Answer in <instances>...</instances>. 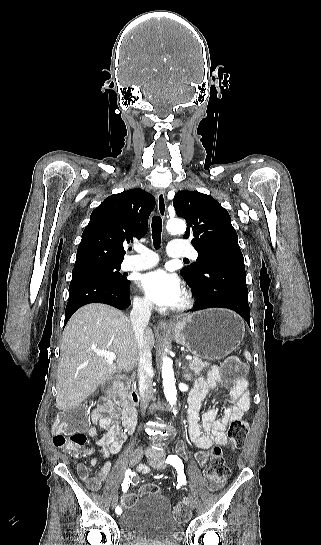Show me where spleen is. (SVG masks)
<instances>
[{
	"label": "spleen",
	"instance_id": "1",
	"mask_svg": "<svg viewBox=\"0 0 321 545\" xmlns=\"http://www.w3.org/2000/svg\"><path fill=\"white\" fill-rule=\"evenodd\" d=\"M244 357H245V359H247V361H251V355H250V353H248V351H245Z\"/></svg>",
	"mask_w": 321,
	"mask_h": 545
}]
</instances>
